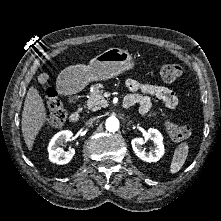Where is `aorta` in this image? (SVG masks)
<instances>
[{
	"instance_id": "1",
	"label": "aorta",
	"mask_w": 221,
	"mask_h": 221,
	"mask_svg": "<svg viewBox=\"0 0 221 221\" xmlns=\"http://www.w3.org/2000/svg\"><path fill=\"white\" fill-rule=\"evenodd\" d=\"M106 129L109 132H116L119 129V120L116 117H109L105 123Z\"/></svg>"
}]
</instances>
